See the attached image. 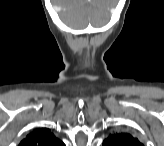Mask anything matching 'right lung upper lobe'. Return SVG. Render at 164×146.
Segmentation results:
<instances>
[{
	"label": "right lung upper lobe",
	"mask_w": 164,
	"mask_h": 146,
	"mask_svg": "<svg viewBox=\"0 0 164 146\" xmlns=\"http://www.w3.org/2000/svg\"><path fill=\"white\" fill-rule=\"evenodd\" d=\"M49 129L33 131L23 139L19 146H63Z\"/></svg>",
	"instance_id": "1"
}]
</instances>
